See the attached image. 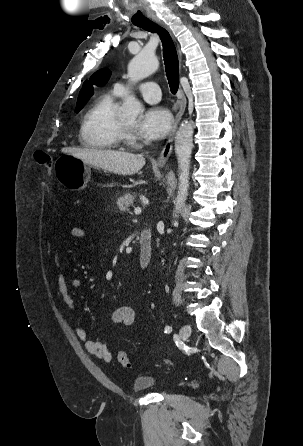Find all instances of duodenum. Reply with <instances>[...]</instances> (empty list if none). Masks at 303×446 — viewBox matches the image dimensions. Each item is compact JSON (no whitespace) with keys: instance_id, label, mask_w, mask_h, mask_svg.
<instances>
[{"instance_id":"obj_1","label":"duodenum","mask_w":303,"mask_h":446,"mask_svg":"<svg viewBox=\"0 0 303 446\" xmlns=\"http://www.w3.org/2000/svg\"><path fill=\"white\" fill-rule=\"evenodd\" d=\"M153 255L152 236L150 231L144 230L139 236V265L145 269L149 266Z\"/></svg>"}]
</instances>
